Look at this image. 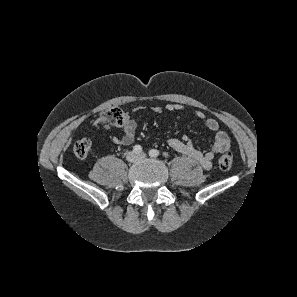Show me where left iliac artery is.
<instances>
[{"mask_svg": "<svg viewBox=\"0 0 297 297\" xmlns=\"http://www.w3.org/2000/svg\"><path fill=\"white\" fill-rule=\"evenodd\" d=\"M149 155H150L151 157H157V156L159 155V151H158L157 149H151V150L149 151Z\"/></svg>", "mask_w": 297, "mask_h": 297, "instance_id": "left-iliac-artery-1", "label": "left iliac artery"}]
</instances>
